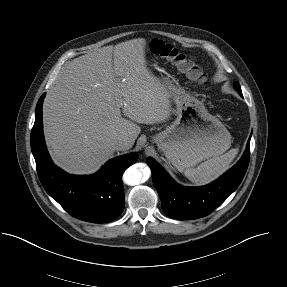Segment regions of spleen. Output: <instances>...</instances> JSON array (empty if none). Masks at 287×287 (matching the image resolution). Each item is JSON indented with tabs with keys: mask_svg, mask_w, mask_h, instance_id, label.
Wrapping results in <instances>:
<instances>
[{
	"mask_svg": "<svg viewBox=\"0 0 287 287\" xmlns=\"http://www.w3.org/2000/svg\"><path fill=\"white\" fill-rule=\"evenodd\" d=\"M237 154L238 148H233L221 156L201 163L196 168L186 169L184 175L197 185L208 184L228 169Z\"/></svg>",
	"mask_w": 287,
	"mask_h": 287,
	"instance_id": "3e777b00",
	"label": "spleen"
}]
</instances>
